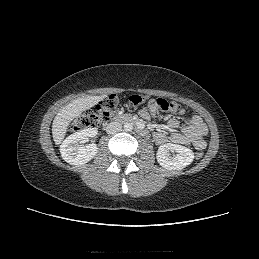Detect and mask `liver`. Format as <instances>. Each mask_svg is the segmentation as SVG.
<instances>
[{
    "instance_id": "obj_1",
    "label": "liver",
    "mask_w": 259,
    "mask_h": 259,
    "mask_svg": "<svg viewBox=\"0 0 259 259\" xmlns=\"http://www.w3.org/2000/svg\"><path fill=\"white\" fill-rule=\"evenodd\" d=\"M105 97L106 95L78 98L60 109L52 123V136L55 144H61L66 135L67 127L74 118L79 117L83 111L95 106Z\"/></svg>"
}]
</instances>
